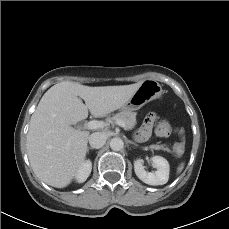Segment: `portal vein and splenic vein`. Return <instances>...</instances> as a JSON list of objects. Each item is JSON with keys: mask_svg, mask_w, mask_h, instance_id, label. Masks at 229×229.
<instances>
[{"mask_svg": "<svg viewBox=\"0 0 229 229\" xmlns=\"http://www.w3.org/2000/svg\"><path fill=\"white\" fill-rule=\"evenodd\" d=\"M116 124H118L119 126L125 129L126 125L123 121H117ZM84 126L86 129L96 130V129H103L106 126V124L103 121L93 120L87 122Z\"/></svg>", "mask_w": 229, "mask_h": 229, "instance_id": "1", "label": "portal vein and splenic vein"}]
</instances>
